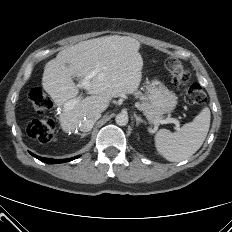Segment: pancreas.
I'll return each instance as SVG.
<instances>
[{"mask_svg":"<svg viewBox=\"0 0 232 232\" xmlns=\"http://www.w3.org/2000/svg\"><path fill=\"white\" fill-rule=\"evenodd\" d=\"M135 96L139 98L141 101L138 104V109L143 111L144 115L150 120L158 119L161 117V113L155 109L151 103L149 102L148 98L144 96L140 91L135 92Z\"/></svg>","mask_w":232,"mask_h":232,"instance_id":"obj_1","label":"pancreas"}]
</instances>
